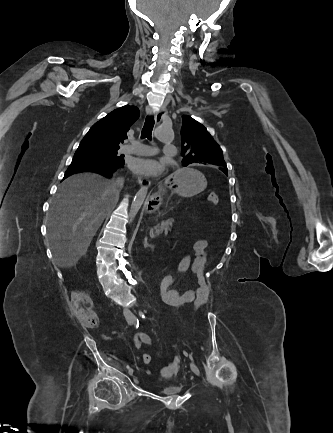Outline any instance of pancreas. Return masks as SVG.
<instances>
[{
  "label": "pancreas",
  "instance_id": "pancreas-1",
  "mask_svg": "<svg viewBox=\"0 0 333 433\" xmlns=\"http://www.w3.org/2000/svg\"><path fill=\"white\" fill-rule=\"evenodd\" d=\"M174 222L173 218H170L168 220H163L161 221L160 224H157L154 229L159 231V233H162L163 231L165 232V235H167V233L171 230L172 228V224Z\"/></svg>",
  "mask_w": 333,
  "mask_h": 433
}]
</instances>
